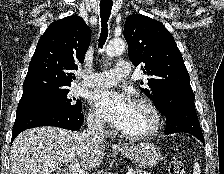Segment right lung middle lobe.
<instances>
[{"mask_svg": "<svg viewBox=\"0 0 224 174\" xmlns=\"http://www.w3.org/2000/svg\"><path fill=\"white\" fill-rule=\"evenodd\" d=\"M69 87H47L23 94L18 107L38 105L60 113L82 111V103L69 95Z\"/></svg>", "mask_w": 224, "mask_h": 174, "instance_id": "dd1d6c3e", "label": "right lung middle lobe"}]
</instances>
